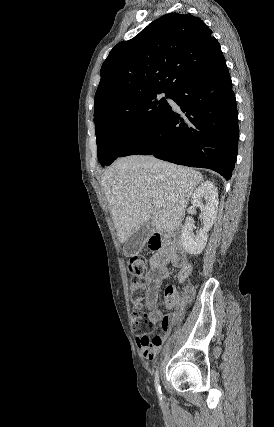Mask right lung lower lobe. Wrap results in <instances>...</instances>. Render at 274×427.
I'll return each instance as SVG.
<instances>
[{
  "label": "right lung lower lobe",
  "mask_w": 274,
  "mask_h": 427,
  "mask_svg": "<svg viewBox=\"0 0 274 427\" xmlns=\"http://www.w3.org/2000/svg\"><path fill=\"white\" fill-rule=\"evenodd\" d=\"M162 120L119 157L154 155L190 167L212 169L226 180L237 158L238 113L227 66L188 82L174 91Z\"/></svg>",
  "instance_id": "1"
}]
</instances>
